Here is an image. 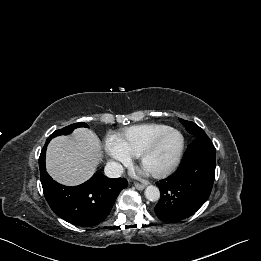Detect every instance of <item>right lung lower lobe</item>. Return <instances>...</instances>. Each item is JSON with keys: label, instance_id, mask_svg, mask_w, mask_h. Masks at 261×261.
Masks as SVG:
<instances>
[{"label": "right lung lower lobe", "instance_id": "1", "mask_svg": "<svg viewBox=\"0 0 261 261\" xmlns=\"http://www.w3.org/2000/svg\"><path fill=\"white\" fill-rule=\"evenodd\" d=\"M50 140L47 139L39 158L40 179L49 206L56 215L74 225L91 227L101 223L128 182L124 178L111 179L95 173L78 186L57 183L45 169V153Z\"/></svg>", "mask_w": 261, "mask_h": 261}]
</instances>
